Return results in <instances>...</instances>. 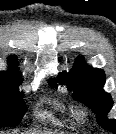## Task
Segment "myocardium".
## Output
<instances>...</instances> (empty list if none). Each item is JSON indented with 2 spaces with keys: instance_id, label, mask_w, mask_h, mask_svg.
Returning a JSON list of instances; mask_svg holds the SVG:
<instances>
[{
  "instance_id": "myocardium-1",
  "label": "myocardium",
  "mask_w": 116,
  "mask_h": 134,
  "mask_svg": "<svg viewBox=\"0 0 116 134\" xmlns=\"http://www.w3.org/2000/svg\"><path fill=\"white\" fill-rule=\"evenodd\" d=\"M76 115L78 116V118H85L86 117V111L83 109V108H79L77 111H76Z\"/></svg>"
}]
</instances>
